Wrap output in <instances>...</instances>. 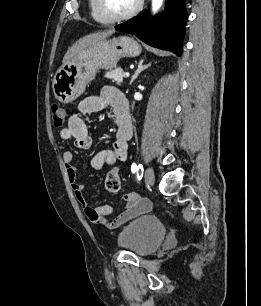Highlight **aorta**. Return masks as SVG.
Instances as JSON below:
<instances>
[{
	"label": "aorta",
	"mask_w": 261,
	"mask_h": 306,
	"mask_svg": "<svg viewBox=\"0 0 261 306\" xmlns=\"http://www.w3.org/2000/svg\"><path fill=\"white\" fill-rule=\"evenodd\" d=\"M163 0H152V11L156 13L162 6Z\"/></svg>",
	"instance_id": "obj_1"
}]
</instances>
